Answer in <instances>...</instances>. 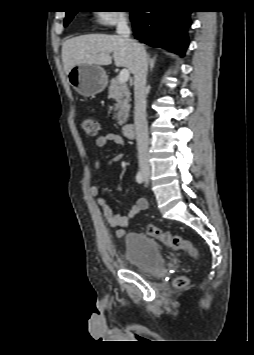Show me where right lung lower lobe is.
Masks as SVG:
<instances>
[{
    "label": "right lung lower lobe",
    "mask_w": 254,
    "mask_h": 355,
    "mask_svg": "<svg viewBox=\"0 0 254 355\" xmlns=\"http://www.w3.org/2000/svg\"><path fill=\"white\" fill-rule=\"evenodd\" d=\"M191 12L174 7H162L151 13L132 10L134 36L146 44L156 45L184 56L188 47L187 28L191 25Z\"/></svg>",
    "instance_id": "1"
}]
</instances>
